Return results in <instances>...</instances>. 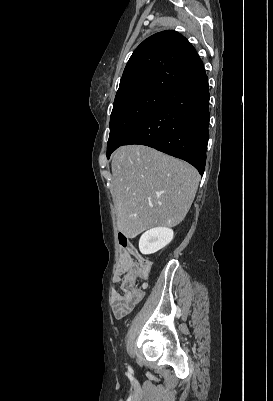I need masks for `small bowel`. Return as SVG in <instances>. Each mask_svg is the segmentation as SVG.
<instances>
[{
  "label": "small bowel",
  "mask_w": 273,
  "mask_h": 401,
  "mask_svg": "<svg viewBox=\"0 0 273 401\" xmlns=\"http://www.w3.org/2000/svg\"><path fill=\"white\" fill-rule=\"evenodd\" d=\"M121 245H126L127 246V251L131 252L132 256H135L136 258H141L136 252V249L131 243H128L126 241L121 242ZM121 261H126V260H120ZM120 262L116 267L115 270V277L116 278V272L117 271H122L120 269ZM144 282V289H147L148 284L145 280ZM145 302V297L141 295L140 290H135V286L133 284H126L124 287V290H115L113 292L112 296V309H113V314L115 318L117 319H122L126 315H128L137 304H143Z\"/></svg>",
  "instance_id": "1"
}]
</instances>
